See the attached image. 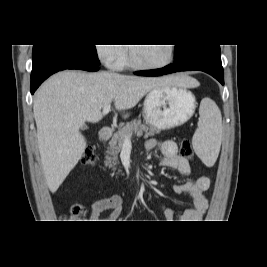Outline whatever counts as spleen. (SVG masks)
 Here are the masks:
<instances>
[{
    "label": "spleen",
    "instance_id": "spleen-1",
    "mask_svg": "<svg viewBox=\"0 0 267 267\" xmlns=\"http://www.w3.org/2000/svg\"><path fill=\"white\" fill-rule=\"evenodd\" d=\"M200 121L192 144L196 154L208 166H212L219 154L222 136L221 112L215 104L202 105Z\"/></svg>",
    "mask_w": 267,
    "mask_h": 267
}]
</instances>
